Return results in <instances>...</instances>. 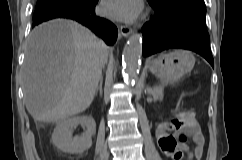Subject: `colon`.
Wrapping results in <instances>:
<instances>
[{"label": "colon", "mask_w": 242, "mask_h": 160, "mask_svg": "<svg viewBox=\"0 0 242 160\" xmlns=\"http://www.w3.org/2000/svg\"><path fill=\"white\" fill-rule=\"evenodd\" d=\"M185 112H186V111H183V112H181V113H185ZM181 113H180V114H181ZM189 113L192 114V112H190V111H189ZM180 114H179V115H180ZM192 115H193V114H192ZM176 121H177V118L174 120V122H176Z\"/></svg>", "instance_id": "colon-1"}]
</instances>
